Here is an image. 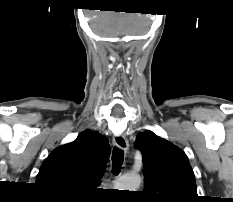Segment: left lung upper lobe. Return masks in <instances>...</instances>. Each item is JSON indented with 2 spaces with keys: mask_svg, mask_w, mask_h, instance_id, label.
I'll list each match as a JSON object with an SVG mask.
<instances>
[{
  "mask_svg": "<svg viewBox=\"0 0 233 202\" xmlns=\"http://www.w3.org/2000/svg\"><path fill=\"white\" fill-rule=\"evenodd\" d=\"M135 147L142 153L144 197L148 202H196L193 170L185 153L152 131L140 133Z\"/></svg>",
  "mask_w": 233,
  "mask_h": 202,
  "instance_id": "obj_1",
  "label": "left lung upper lobe"
}]
</instances>
